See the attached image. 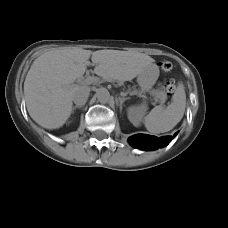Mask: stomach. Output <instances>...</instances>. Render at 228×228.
I'll list each match as a JSON object with an SVG mask.
<instances>
[{"mask_svg":"<svg viewBox=\"0 0 228 228\" xmlns=\"http://www.w3.org/2000/svg\"><path fill=\"white\" fill-rule=\"evenodd\" d=\"M159 76V69L155 64L145 68L137 78L138 84L142 91H149L156 83Z\"/></svg>","mask_w":228,"mask_h":228,"instance_id":"0dacf381","label":"stomach"}]
</instances>
